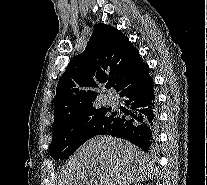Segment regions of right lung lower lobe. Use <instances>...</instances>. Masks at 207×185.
Listing matches in <instances>:
<instances>
[{
  "mask_svg": "<svg viewBox=\"0 0 207 185\" xmlns=\"http://www.w3.org/2000/svg\"><path fill=\"white\" fill-rule=\"evenodd\" d=\"M126 108L114 111L115 119L98 135H112L137 145L144 151L152 148L156 136V102L149 71L116 88Z\"/></svg>",
  "mask_w": 207,
  "mask_h": 185,
  "instance_id": "1",
  "label": "right lung lower lobe"
}]
</instances>
